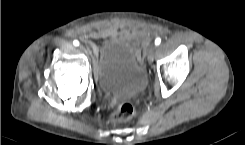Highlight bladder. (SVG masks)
I'll use <instances>...</instances> for the list:
<instances>
[{
	"label": "bladder",
	"instance_id": "1",
	"mask_svg": "<svg viewBox=\"0 0 245 145\" xmlns=\"http://www.w3.org/2000/svg\"><path fill=\"white\" fill-rule=\"evenodd\" d=\"M101 90L106 94L129 98L141 93L145 72L131 38L109 35L102 44L95 63Z\"/></svg>",
	"mask_w": 245,
	"mask_h": 145
}]
</instances>
